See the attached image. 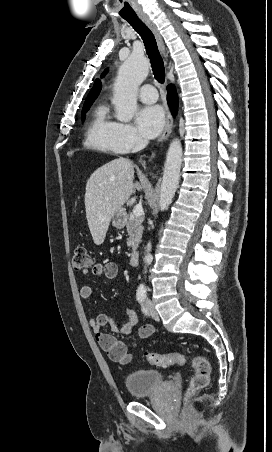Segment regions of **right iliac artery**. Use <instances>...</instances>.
<instances>
[{
	"label": "right iliac artery",
	"instance_id": "obj_1",
	"mask_svg": "<svg viewBox=\"0 0 272 452\" xmlns=\"http://www.w3.org/2000/svg\"><path fill=\"white\" fill-rule=\"evenodd\" d=\"M145 297L144 296H138L137 300L142 303L144 301Z\"/></svg>",
	"mask_w": 272,
	"mask_h": 452
}]
</instances>
